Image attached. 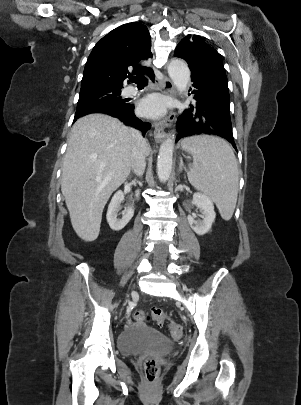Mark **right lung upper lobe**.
<instances>
[{"mask_svg": "<svg viewBox=\"0 0 301 405\" xmlns=\"http://www.w3.org/2000/svg\"><path fill=\"white\" fill-rule=\"evenodd\" d=\"M150 47V34L145 25L127 23L115 28L90 53L83 72L81 90L95 87L121 89L129 73L128 68H133V74H148L151 68L137 64L152 57Z\"/></svg>", "mask_w": 301, "mask_h": 405, "instance_id": "cb5924a9", "label": "right lung upper lobe"}]
</instances>
